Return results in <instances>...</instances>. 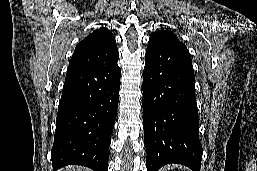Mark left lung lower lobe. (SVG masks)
<instances>
[{"instance_id":"1","label":"left lung lower lobe","mask_w":257,"mask_h":171,"mask_svg":"<svg viewBox=\"0 0 257 171\" xmlns=\"http://www.w3.org/2000/svg\"><path fill=\"white\" fill-rule=\"evenodd\" d=\"M142 104L148 171L172 163L200 171L203 149L191 56L146 50Z\"/></svg>"}]
</instances>
